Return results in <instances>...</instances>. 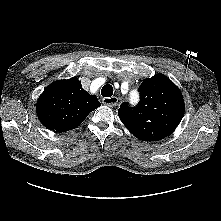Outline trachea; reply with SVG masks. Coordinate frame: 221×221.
<instances>
[{
	"instance_id": "1",
	"label": "trachea",
	"mask_w": 221,
	"mask_h": 221,
	"mask_svg": "<svg viewBox=\"0 0 221 221\" xmlns=\"http://www.w3.org/2000/svg\"><path fill=\"white\" fill-rule=\"evenodd\" d=\"M101 94L103 97H111L113 95V87L109 84L104 85L101 89Z\"/></svg>"
}]
</instances>
